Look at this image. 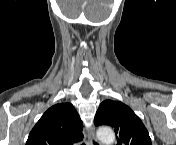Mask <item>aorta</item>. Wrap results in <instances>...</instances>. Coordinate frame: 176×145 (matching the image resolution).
<instances>
[{"label":"aorta","instance_id":"762f6f07","mask_svg":"<svg viewBox=\"0 0 176 145\" xmlns=\"http://www.w3.org/2000/svg\"><path fill=\"white\" fill-rule=\"evenodd\" d=\"M97 138L105 145H110L115 140V134L109 127H101L97 130Z\"/></svg>","mask_w":176,"mask_h":145}]
</instances>
